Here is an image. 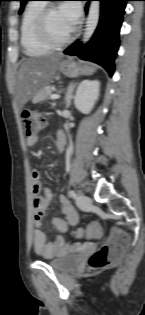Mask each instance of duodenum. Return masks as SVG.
<instances>
[{
    "mask_svg": "<svg viewBox=\"0 0 145 315\" xmlns=\"http://www.w3.org/2000/svg\"><path fill=\"white\" fill-rule=\"evenodd\" d=\"M64 149H65V146H64L63 144H59V145H58V149H57V150H58L59 152H63Z\"/></svg>",
    "mask_w": 145,
    "mask_h": 315,
    "instance_id": "obj_1",
    "label": "duodenum"
}]
</instances>
